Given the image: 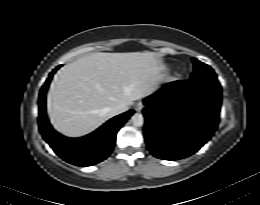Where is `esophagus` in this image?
<instances>
[{"label": "esophagus", "instance_id": "1", "mask_svg": "<svg viewBox=\"0 0 260 205\" xmlns=\"http://www.w3.org/2000/svg\"><path fill=\"white\" fill-rule=\"evenodd\" d=\"M144 107V104L142 102H138L136 105H135V110L140 112Z\"/></svg>", "mask_w": 260, "mask_h": 205}]
</instances>
